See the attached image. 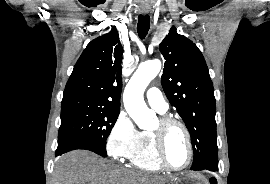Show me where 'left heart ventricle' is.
Here are the masks:
<instances>
[{"instance_id":"obj_1","label":"left heart ventricle","mask_w":270,"mask_h":184,"mask_svg":"<svg viewBox=\"0 0 270 184\" xmlns=\"http://www.w3.org/2000/svg\"><path fill=\"white\" fill-rule=\"evenodd\" d=\"M159 127V122L155 124L153 130ZM165 152L167 161L174 167H181L188 158V148L186 137L183 131L177 127H171L167 131Z\"/></svg>"}]
</instances>
